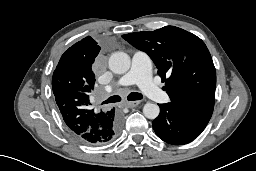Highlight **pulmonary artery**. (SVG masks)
Here are the masks:
<instances>
[{"instance_id": "pulmonary-artery-1", "label": "pulmonary artery", "mask_w": 256, "mask_h": 171, "mask_svg": "<svg viewBox=\"0 0 256 171\" xmlns=\"http://www.w3.org/2000/svg\"><path fill=\"white\" fill-rule=\"evenodd\" d=\"M151 59L143 51H136L132 56L131 68L117 82V86H128L136 84L153 101L164 102L167 95L157 85L151 77ZM109 90L112 88L109 87Z\"/></svg>"}]
</instances>
